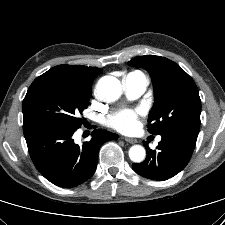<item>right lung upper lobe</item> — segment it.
<instances>
[{
    "instance_id": "obj_1",
    "label": "right lung upper lobe",
    "mask_w": 225,
    "mask_h": 225,
    "mask_svg": "<svg viewBox=\"0 0 225 225\" xmlns=\"http://www.w3.org/2000/svg\"><path fill=\"white\" fill-rule=\"evenodd\" d=\"M101 71V68L87 67L82 65H58L45 72L43 75L50 74H66L76 78L93 82L96 75Z\"/></svg>"
}]
</instances>
